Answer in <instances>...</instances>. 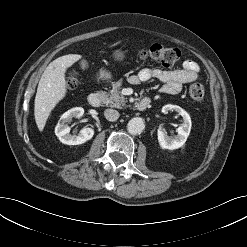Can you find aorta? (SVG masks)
I'll list each match as a JSON object with an SVG mask.
<instances>
[{"label": "aorta", "mask_w": 247, "mask_h": 247, "mask_svg": "<svg viewBox=\"0 0 247 247\" xmlns=\"http://www.w3.org/2000/svg\"><path fill=\"white\" fill-rule=\"evenodd\" d=\"M145 128V122L141 117L132 118L128 124L127 129L130 134H140Z\"/></svg>", "instance_id": "aorta-1"}]
</instances>
